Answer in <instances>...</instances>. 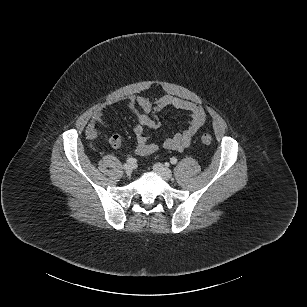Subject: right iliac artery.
Wrapping results in <instances>:
<instances>
[{
  "label": "right iliac artery",
  "mask_w": 307,
  "mask_h": 307,
  "mask_svg": "<svg viewBox=\"0 0 307 307\" xmlns=\"http://www.w3.org/2000/svg\"><path fill=\"white\" fill-rule=\"evenodd\" d=\"M127 162H128L129 164H135V163H136V159H135V158H128V159H127Z\"/></svg>",
  "instance_id": "82829eb1"
}]
</instances>
